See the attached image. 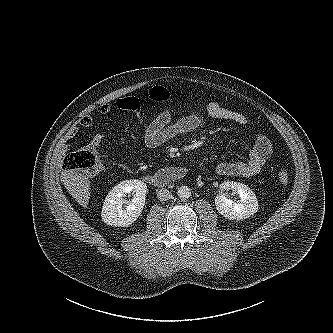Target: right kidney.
<instances>
[{"label":"right kidney","instance_id":"1","mask_svg":"<svg viewBox=\"0 0 333 333\" xmlns=\"http://www.w3.org/2000/svg\"><path fill=\"white\" fill-rule=\"evenodd\" d=\"M133 199L124 197L131 193ZM147 186L144 182L130 179L120 182L112 188L105 198L101 217L104 223L115 227H125L134 223L145 205Z\"/></svg>","mask_w":333,"mask_h":333}]
</instances>
